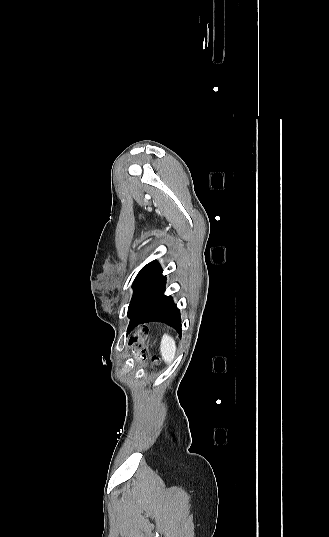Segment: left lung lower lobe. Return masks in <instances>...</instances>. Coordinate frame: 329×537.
<instances>
[{
  "label": "left lung lower lobe",
  "mask_w": 329,
  "mask_h": 537,
  "mask_svg": "<svg viewBox=\"0 0 329 537\" xmlns=\"http://www.w3.org/2000/svg\"><path fill=\"white\" fill-rule=\"evenodd\" d=\"M165 276L162 272L150 283L140 301L129 312V333L138 325L163 322L173 327L181 335L180 311L170 296L164 295Z\"/></svg>",
  "instance_id": "obj_1"
}]
</instances>
